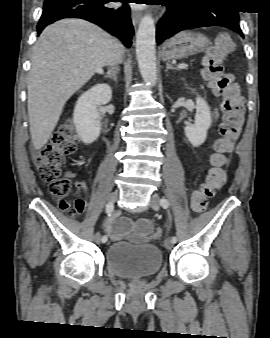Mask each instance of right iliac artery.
Listing matches in <instances>:
<instances>
[{
	"label": "right iliac artery",
	"mask_w": 270,
	"mask_h": 338,
	"mask_svg": "<svg viewBox=\"0 0 270 338\" xmlns=\"http://www.w3.org/2000/svg\"><path fill=\"white\" fill-rule=\"evenodd\" d=\"M113 209H114V204L111 203V202H109V203L106 205V213H107L108 215H110V214L112 213ZM101 241H102L103 243H105V242L107 241V236L104 235V236L101 238Z\"/></svg>",
	"instance_id": "obj_1"
}]
</instances>
